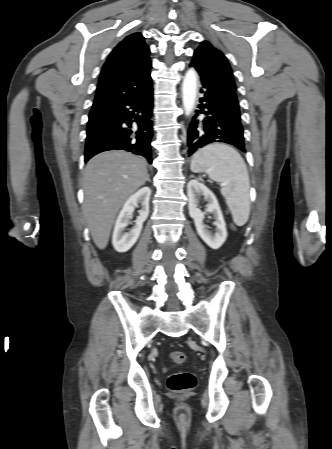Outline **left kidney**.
<instances>
[{"instance_id": "left-kidney-1", "label": "left kidney", "mask_w": 332, "mask_h": 449, "mask_svg": "<svg viewBox=\"0 0 332 449\" xmlns=\"http://www.w3.org/2000/svg\"><path fill=\"white\" fill-rule=\"evenodd\" d=\"M187 193L189 215L194 220L197 233L212 249L220 248L227 238V230L216 196L204 184L195 179L188 182ZM200 196H204L205 200L208 202L206 210L214 216L215 221L213 224L216 226V232L214 234L209 232L203 223L204 214L198 208V199Z\"/></svg>"}]
</instances>
